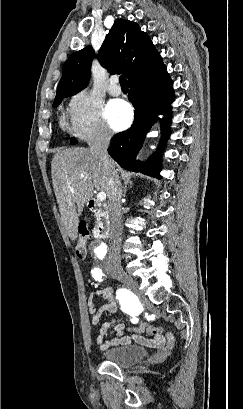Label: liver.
<instances>
[{"label":"liver","instance_id":"6515ba94","mask_svg":"<svg viewBox=\"0 0 243 409\" xmlns=\"http://www.w3.org/2000/svg\"><path fill=\"white\" fill-rule=\"evenodd\" d=\"M111 164L115 168L113 161ZM51 175L62 222L70 239L75 240L85 202L94 191L108 192L107 171L89 149L75 147L53 156Z\"/></svg>","mask_w":243,"mask_h":409}]
</instances>
